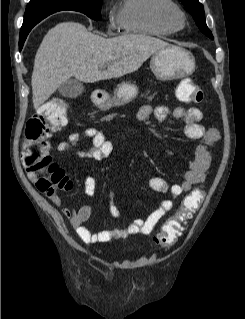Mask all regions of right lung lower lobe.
Returning a JSON list of instances; mask_svg holds the SVG:
<instances>
[{
    "label": "right lung lower lobe",
    "instance_id": "obj_1",
    "mask_svg": "<svg viewBox=\"0 0 245 319\" xmlns=\"http://www.w3.org/2000/svg\"><path fill=\"white\" fill-rule=\"evenodd\" d=\"M32 28H29L27 30H21L20 31V38H19V47H20V50L22 49L23 47V44H24V41L28 35V33L30 32Z\"/></svg>",
    "mask_w": 245,
    "mask_h": 319
}]
</instances>
